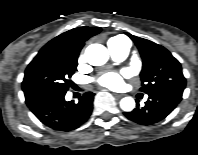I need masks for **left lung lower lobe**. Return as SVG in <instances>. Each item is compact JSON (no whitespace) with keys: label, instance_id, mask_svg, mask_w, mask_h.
<instances>
[{"label":"left lung lower lobe","instance_id":"obj_1","mask_svg":"<svg viewBox=\"0 0 198 155\" xmlns=\"http://www.w3.org/2000/svg\"><path fill=\"white\" fill-rule=\"evenodd\" d=\"M182 94L176 92H157L149 95L145 106L139 105L132 112H125L124 115L139 124L151 125L166 118L178 105Z\"/></svg>","mask_w":198,"mask_h":155}]
</instances>
